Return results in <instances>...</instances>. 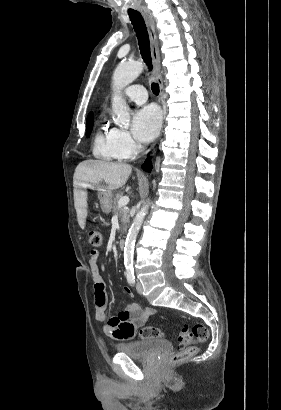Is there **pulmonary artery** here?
<instances>
[{
	"label": "pulmonary artery",
	"mask_w": 281,
	"mask_h": 410,
	"mask_svg": "<svg viewBox=\"0 0 281 410\" xmlns=\"http://www.w3.org/2000/svg\"><path fill=\"white\" fill-rule=\"evenodd\" d=\"M125 96L136 104H143L147 101V92L142 85H131L127 87Z\"/></svg>",
	"instance_id": "pulmonary-artery-1"
}]
</instances>
